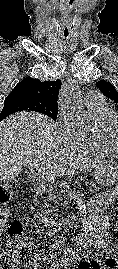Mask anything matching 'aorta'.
<instances>
[{
  "instance_id": "aorta-1",
  "label": "aorta",
  "mask_w": 118,
  "mask_h": 269,
  "mask_svg": "<svg viewBox=\"0 0 118 269\" xmlns=\"http://www.w3.org/2000/svg\"><path fill=\"white\" fill-rule=\"evenodd\" d=\"M60 103L62 109L72 115L83 128L94 127L95 124L83 105L79 86L75 81L70 80L63 86Z\"/></svg>"
}]
</instances>
